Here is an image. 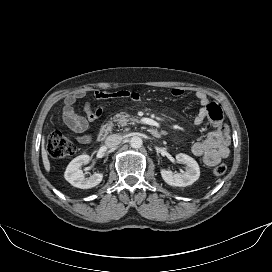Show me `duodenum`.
<instances>
[{
	"label": "duodenum",
	"mask_w": 272,
	"mask_h": 272,
	"mask_svg": "<svg viewBox=\"0 0 272 272\" xmlns=\"http://www.w3.org/2000/svg\"><path fill=\"white\" fill-rule=\"evenodd\" d=\"M111 129L112 126L110 124L102 126L97 136L98 140H103L111 132ZM148 132L155 138H160L162 136L161 132L156 128H149Z\"/></svg>",
	"instance_id": "duodenum-1"
}]
</instances>
